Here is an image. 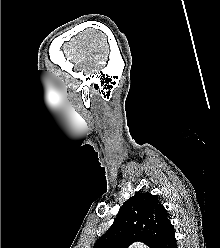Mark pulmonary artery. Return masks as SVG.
I'll list each match as a JSON object with an SVG mask.
<instances>
[{
    "mask_svg": "<svg viewBox=\"0 0 220 248\" xmlns=\"http://www.w3.org/2000/svg\"><path fill=\"white\" fill-rule=\"evenodd\" d=\"M136 248H145L144 246H137Z\"/></svg>",
    "mask_w": 220,
    "mask_h": 248,
    "instance_id": "obj_1",
    "label": "pulmonary artery"
}]
</instances>
